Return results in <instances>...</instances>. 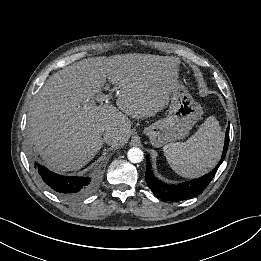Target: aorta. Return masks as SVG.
Masks as SVG:
<instances>
[{
    "label": "aorta",
    "instance_id": "762f6f07",
    "mask_svg": "<svg viewBox=\"0 0 261 261\" xmlns=\"http://www.w3.org/2000/svg\"><path fill=\"white\" fill-rule=\"evenodd\" d=\"M128 159L132 163H140L143 160V151L140 148L132 147L127 153Z\"/></svg>",
    "mask_w": 261,
    "mask_h": 261
}]
</instances>
